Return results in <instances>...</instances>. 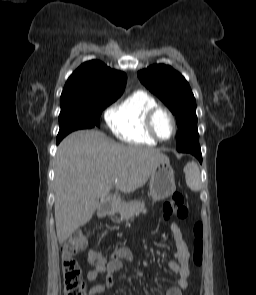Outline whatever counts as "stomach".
I'll use <instances>...</instances> for the list:
<instances>
[{"label": "stomach", "instance_id": "stomach-1", "mask_svg": "<svg viewBox=\"0 0 256 295\" xmlns=\"http://www.w3.org/2000/svg\"><path fill=\"white\" fill-rule=\"evenodd\" d=\"M176 190L174 170L169 159L163 160L156 166L150 178V195L153 202L168 198ZM122 214L123 208L119 210Z\"/></svg>", "mask_w": 256, "mask_h": 295}]
</instances>
